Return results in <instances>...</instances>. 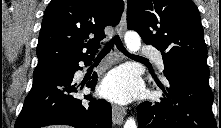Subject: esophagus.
I'll return each instance as SVG.
<instances>
[{"instance_id": "34e87169", "label": "esophagus", "mask_w": 221, "mask_h": 128, "mask_svg": "<svg viewBox=\"0 0 221 128\" xmlns=\"http://www.w3.org/2000/svg\"><path fill=\"white\" fill-rule=\"evenodd\" d=\"M120 35L124 36L126 32V6L120 21ZM126 115V110L124 107L119 106L117 104L112 105V119L114 124H122L124 120V116Z\"/></svg>"}]
</instances>
